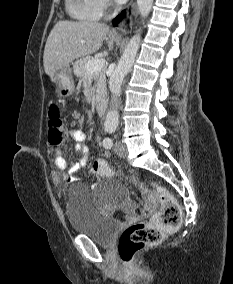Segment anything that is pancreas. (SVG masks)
Segmentation results:
<instances>
[{
	"mask_svg": "<svg viewBox=\"0 0 233 284\" xmlns=\"http://www.w3.org/2000/svg\"><path fill=\"white\" fill-rule=\"evenodd\" d=\"M94 57H85L79 59L74 63V73L80 79H85L90 76L92 80L96 81V102L102 104L106 102V76L104 70H99L91 73L87 68V63L95 60Z\"/></svg>",
	"mask_w": 233,
	"mask_h": 284,
	"instance_id": "1",
	"label": "pancreas"
}]
</instances>
